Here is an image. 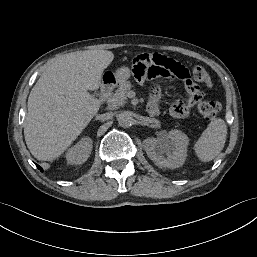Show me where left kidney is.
<instances>
[{
	"label": "left kidney",
	"instance_id": "left-kidney-1",
	"mask_svg": "<svg viewBox=\"0 0 257 257\" xmlns=\"http://www.w3.org/2000/svg\"><path fill=\"white\" fill-rule=\"evenodd\" d=\"M189 139L179 130L163 132L158 138L149 137L143 141L148 157L159 167L178 168L185 162Z\"/></svg>",
	"mask_w": 257,
	"mask_h": 257
}]
</instances>
